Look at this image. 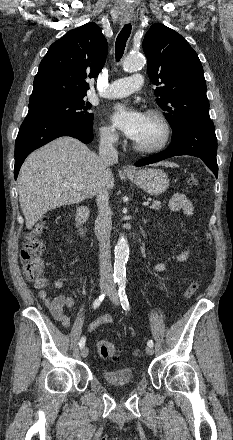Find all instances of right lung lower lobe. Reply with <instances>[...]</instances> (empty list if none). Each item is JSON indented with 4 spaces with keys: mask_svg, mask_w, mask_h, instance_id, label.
Listing matches in <instances>:
<instances>
[{
    "mask_svg": "<svg viewBox=\"0 0 233 440\" xmlns=\"http://www.w3.org/2000/svg\"><path fill=\"white\" fill-rule=\"evenodd\" d=\"M61 136H71L83 143L93 140L92 131L76 122L46 115H27L16 138L15 179L25 158L33 150Z\"/></svg>",
    "mask_w": 233,
    "mask_h": 440,
    "instance_id": "1",
    "label": "right lung lower lobe"
}]
</instances>
